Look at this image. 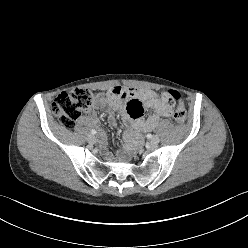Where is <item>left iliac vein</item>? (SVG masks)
<instances>
[{"instance_id":"obj_1","label":"left iliac vein","mask_w":248,"mask_h":248,"mask_svg":"<svg viewBox=\"0 0 248 248\" xmlns=\"http://www.w3.org/2000/svg\"><path fill=\"white\" fill-rule=\"evenodd\" d=\"M160 139L158 136H153L151 139H150V144L152 146H156L158 143H159Z\"/></svg>"}]
</instances>
